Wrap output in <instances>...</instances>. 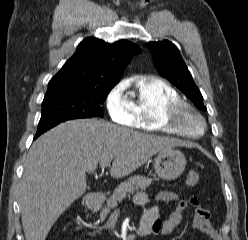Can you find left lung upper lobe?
Returning <instances> with one entry per match:
<instances>
[{
    "mask_svg": "<svg viewBox=\"0 0 248 240\" xmlns=\"http://www.w3.org/2000/svg\"><path fill=\"white\" fill-rule=\"evenodd\" d=\"M155 67L160 75L179 88L200 109L206 111L203 96L193 81L178 48L170 41L149 42Z\"/></svg>",
    "mask_w": 248,
    "mask_h": 240,
    "instance_id": "5c2ea615",
    "label": "left lung upper lobe"
}]
</instances>
